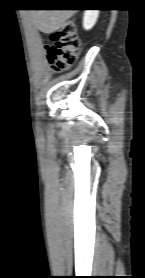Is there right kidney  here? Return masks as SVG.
Segmentation results:
<instances>
[{"label":"right kidney","instance_id":"obj_1","mask_svg":"<svg viewBox=\"0 0 145 278\" xmlns=\"http://www.w3.org/2000/svg\"><path fill=\"white\" fill-rule=\"evenodd\" d=\"M99 16V10H86L83 17V27L86 30L91 29Z\"/></svg>","mask_w":145,"mask_h":278}]
</instances>
